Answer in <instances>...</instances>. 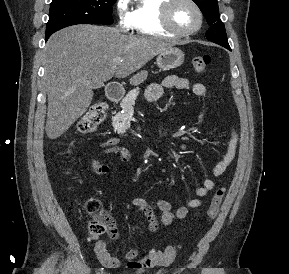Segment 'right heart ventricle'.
I'll list each match as a JSON object with an SVG mask.
<instances>
[{
    "mask_svg": "<svg viewBox=\"0 0 289 274\" xmlns=\"http://www.w3.org/2000/svg\"><path fill=\"white\" fill-rule=\"evenodd\" d=\"M165 0H136L130 12L131 28L138 34L172 37L160 20L161 8Z\"/></svg>",
    "mask_w": 289,
    "mask_h": 274,
    "instance_id": "right-heart-ventricle-1",
    "label": "right heart ventricle"
}]
</instances>
